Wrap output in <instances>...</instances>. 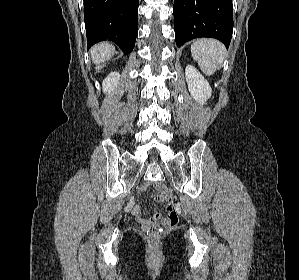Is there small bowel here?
<instances>
[{
    "instance_id": "c3829d8e",
    "label": "small bowel",
    "mask_w": 299,
    "mask_h": 280,
    "mask_svg": "<svg viewBox=\"0 0 299 280\" xmlns=\"http://www.w3.org/2000/svg\"><path fill=\"white\" fill-rule=\"evenodd\" d=\"M132 214L136 217L137 221L141 223L144 228H146L151 222V219H144L141 217L140 209L138 206L132 207Z\"/></svg>"
}]
</instances>
